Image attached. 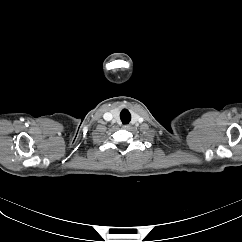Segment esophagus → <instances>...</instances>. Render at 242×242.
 Wrapping results in <instances>:
<instances>
[{
  "label": "esophagus",
  "mask_w": 242,
  "mask_h": 242,
  "mask_svg": "<svg viewBox=\"0 0 242 242\" xmlns=\"http://www.w3.org/2000/svg\"><path fill=\"white\" fill-rule=\"evenodd\" d=\"M123 128L124 129H129L130 128V125H123Z\"/></svg>",
  "instance_id": "1"
}]
</instances>
